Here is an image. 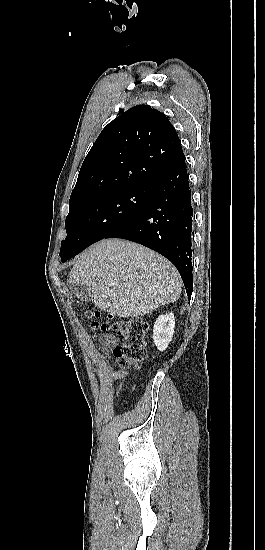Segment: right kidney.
Segmentation results:
<instances>
[{
  "label": "right kidney",
  "mask_w": 265,
  "mask_h": 550,
  "mask_svg": "<svg viewBox=\"0 0 265 550\" xmlns=\"http://www.w3.org/2000/svg\"><path fill=\"white\" fill-rule=\"evenodd\" d=\"M175 318L172 312L160 315L153 329V340L159 351H164L172 341Z\"/></svg>",
  "instance_id": "1"
}]
</instances>
